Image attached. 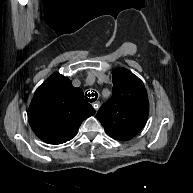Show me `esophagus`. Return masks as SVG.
Returning a JSON list of instances; mask_svg holds the SVG:
<instances>
[{"instance_id": "obj_1", "label": "esophagus", "mask_w": 193, "mask_h": 193, "mask_svg": "<svg viewBox=\"0 0 193 193\" xmlns=\"http://www.w3.org/2000/svg\"><path fill=\"white\" fill-rule=\"evenodd\" d=\"M88 93H90V94L88 95ZM87 96H88V98L95 100V101L93 102V107H94V109H95L96 111H98L99 108H100V103L98 102L99 92L96 91V90H94V91H93V90H90V91L87 92ZM89 96H90V97H89Z\"/></svg>"}]
</instances>
